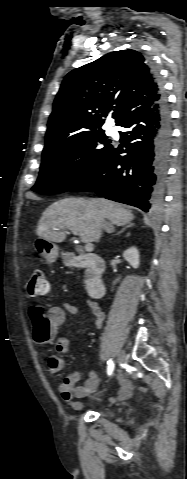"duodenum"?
Here are the masks:
<instances>
[{
  "mask_svg": "<svg viewBox=\"0 0 187 479\" xmlns=\"http://www.w3.org/2000/svg\"><path fill=\"white\" fill-rule=\"evenodd\" d=\"M71 266L76 268H85L88 272L86 290L91 298H100L103 296L105 286L101 278L104 270L103 260L95 254H82L79 256H69L67 258Z\"/></svg>",
  "mask_w": 187,
  "mask_h": 479,
  "instance_id": "duodenum-1",
  "label": "duodenum"
}]
</instances>
